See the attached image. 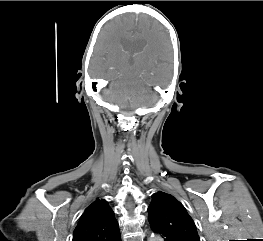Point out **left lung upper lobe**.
I'll list each match as a JSON object with an SVG mask.
<instances>
[{
    "label": "left lung upper lobe",
    "instance_id": "5c2ea615",
    "mask_svg": "<svg viewBox=\"0 0 263 241\" xmlns=\"http://www.w3.org/2000/svg\"><path fill=\"white\" fill-rule=\"evenodd\" d=\"M148 213L150 224L159 226L183 241H200L192 218L172 195L161 191L153 194Z\"/></svg>",
    "mask_w": 263,
    "mask_h": 241
}]
</instances>
